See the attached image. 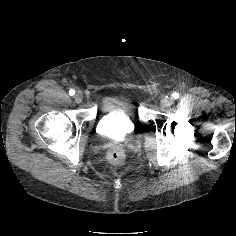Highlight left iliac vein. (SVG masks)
<instances>
[{
  "instance_id": "obj_1",
  "label": "left iliac vein",
  "mask_w": 236,
  "mask_h": 236,
  "mask_svg": "<svg viewBox=\"0 0 236 236\" xmlns=\"http://www.w3.org/2000/svg\"><path fill=\"white\" fill-rule=\"evenodd\" d=\"M172 103H173V99L172 98H163L161 100V105L165 106V107L170 106Z\"/></svg>"
}]
</instances>
